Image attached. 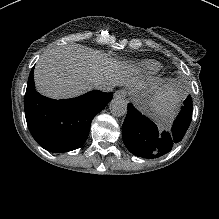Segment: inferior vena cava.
<instances>
[{
	"mask_svg": "<svg viewBox=\"0 0 219 219\" xmlns=\"http://www.w3.org/2000/svg\"><path fill=\"white\" fill-rule=\"evenodd\" d=\"M93 88L102 92H111L113 90V83L102 76L93 80Z\"/></svg>",
	"mask_w": 219,
	"mask_h": 219,
	"instance_id": "1",
	"label": "inferior vena cava"
}]
</instances>
